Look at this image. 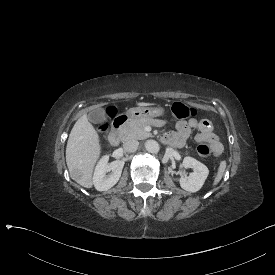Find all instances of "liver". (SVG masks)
<instances>
[{"mask_svg": "<svg viewBox=\"0 0 275 275\" xmlns=\"http://www.w3.org/2000/svg\"><path fill=\"white\" fill-rule=\"evenodd\" d=\"M139 106L153 105L138 103ZM100 155L99 136L88 121L87 115H82L74 124L66 147V163L70 174L77 169L82 177L77 182L86 188L92 187L93 168Z\"/></svg>", "mask_w": 275, "mask_h": 275, "instance_id": "6515ba94", "label": "liver"}]
</instances>
